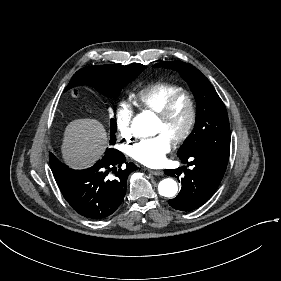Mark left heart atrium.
Returning <instances> with one entry per match:
<instances>
[{"mask_svg":"<svg viewBox=\"0 0 281 281\" xmlns=\"http://www.w3.org/2000/svg\"><path fill=\"white\" fill-rule=\"evenodd\" d=\"M171 149L170 139L164 134L142 140L131 148V157L148 167H159L165 162V156Z\"/></svg>","mask_w":281,"mask_h":281,"instance_id":"39dd6f15","label":"left heart atrium"}]
</instances>
